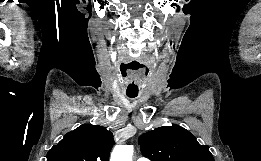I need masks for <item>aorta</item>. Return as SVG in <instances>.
Masks as SVG:
<instances>
[{
	"label": "aorta",
	"instance_id": "obj_1",
	"mask_svg": "<svg viewBox=\"0 0 261 161\" xmlns=\"http://www.w3.org/2000/svg\"><path fill=\"white\" fill-rule=\"evenodd\" d=\"M132 156V145H117L111 153L110 161H132Z\"/></svg>",
	"mask_w": 261,
	"mask_h": 161
}]
</instances>
